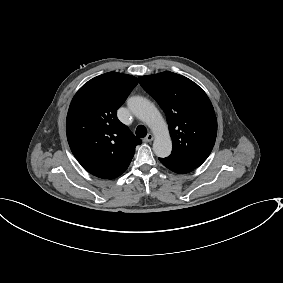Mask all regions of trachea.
Returning <instances> with one entry per match:
<instances>
[{
    "label": "trachea",
    "mask_w": 283,
    "mask_h": 283,
    "mask_svg": "<svg viewBox=\"0 0 283 283\" xmlns=\"http://www.w3.org/2000/svg\"><path fill=\"white\" fill-rule=\"evenodd\" d=\"M135 133L138 137L143 138L147 135V129L145 126L139 125L137 126Z\"/></svg>",
    "instance_id": "1"
}]
</instances>
